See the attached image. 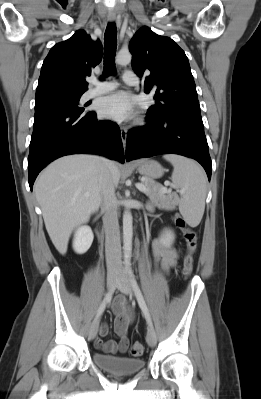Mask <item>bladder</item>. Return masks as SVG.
Instances as JSON below:
<instances>
[{"mask_svg": "<svg viewBox=\"0 0 261 399\" xmlns=\"http://www.w3.org/2000/svg\"><path fill=\"white\" fill-rule=\"evenodd\" d=\"M93 362L108 373L119 375H133L144 367V360L124 356H111L95 352Z\"/></svg>", "mask_w": 261, "mask_h": 399, "instance_id": "31cf9c89", "label": "bladder"}]
</instances>
